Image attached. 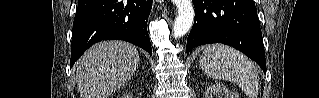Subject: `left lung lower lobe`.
Returning a JSON list of instances; mask_svg holds the SVG:
<instances>
[{
	"instance_id": "1",
	"label": "left lung lower lobe",
	"mask_w": 319,
	"mask_h": 98,
	"mask_svg": "<svg viewBox=\"0 0 319 98\" xmlns=\"http://www.w3.org/2000/svg\"><path fill=\"white\" fill-rule=\"evenodd\" d=\"M195 21L187 54L202 44L223 43L256 61L266 73L260 23L253 0H194Z\"/></svg>"
}]
</instances>
